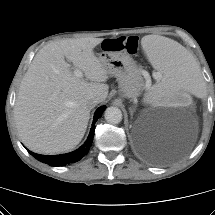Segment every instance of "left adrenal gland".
<instances>
[{
    "mask_svg": "<svg viewBox=\"0 0 215 215\" xmlns=\"http://www.w3.org/2000/svg\"><path fill=\"white\" fill-rule=\"evenodd\" d=\"M130 112H131V113L133 112V109H132V108H130Z\"/></svg>",
    "mask_w": 215,
    "mask_h": 215,
    "instance_id": "left-adrenal-gland-1",
    "label": "left adrenal gland"
}]
</instances>
